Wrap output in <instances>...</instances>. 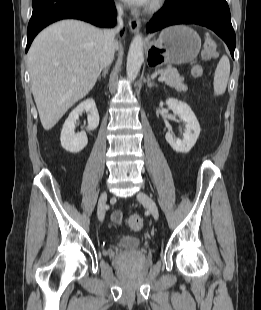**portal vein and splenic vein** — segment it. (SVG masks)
Masks as SVG:
<instances>
[{
	"mask_svg": "<svg viewBox=\"0 0 261 310\" xmlns=\"http://www.w3.org/2000/svg\"><path fill=\"white\" fill-rule=\"evenodd\" d=\"M165 80V76H160L159 78H158V81H164Z\"/></svg>",
	"mask_w": 261,
	"mask_h": 310,
	"instance_id": "18ae733b",
	"label": "portal vein and splenic vein"
}]
</instances>
